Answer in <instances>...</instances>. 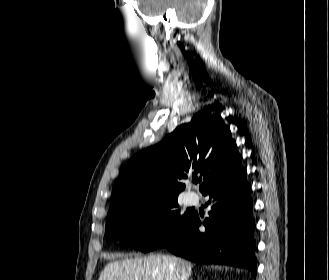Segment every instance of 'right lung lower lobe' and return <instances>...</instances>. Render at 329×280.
I'll return each mask as SVG.
<instances>
[{
	"label": "right lung lower lobe",
	"mask_w": 329,
	"mask_h": 280,
	"mask_svg": "<svg viewBox=\"0 0 329 280\" xmlns=\"http://www.w3.org/2000/svg\"><path fill=\"white\" fill-rule=\"evenodd\" d=\"M246 176L239 164L211 182L202 191L204 196H210L206 205L211 208L209 218L203 222L205 230L199 231L201 220L195 212L186 227L162 247L197 263L247 268L255 277V223Z\"/></svg>",
	"instance_id": "right-lung-lower-lobe-1"
}]
</instances>
